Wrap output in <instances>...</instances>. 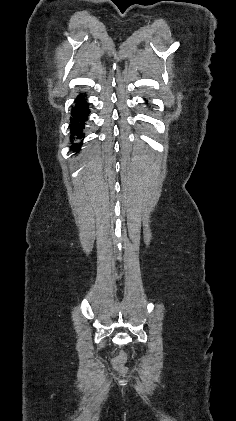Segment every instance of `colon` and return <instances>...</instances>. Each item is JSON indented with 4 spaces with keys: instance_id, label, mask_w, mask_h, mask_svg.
I'll return each mask as SVG.
<instances>
[{
    "instance_id": "colon-1",
    "label": "colon",
    "mask_w": 236,
    "mask_h": 421,
    "mask_svg": "<svg viewBox=\"0 0 236 421\" xmlns=\"http://www.w3.org/2000/svg\"><path fill=\"white\" fill-rule=\"evenodd\" d=\"M126 356L124 353H119L113 358V366L117 370H123L125 368Z\"/></svg>"
}]
</instances>
